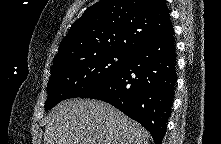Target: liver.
<instances>
[{
  "mask_svg": "<svg viewBox=\"0 0 221 144\" xmlns=\"http://www.w3.org/2000/svg\"><path fill=\"white\" fill-rule=\"evenodd\" d=\"M45 144H149V133L100 100L69 99L51 111Z\"/></svg>",
  "mask_w": 221,
  "mask_h": 144,
  "instance_id": "1",
  "label": "liver"
}]
</instances>
